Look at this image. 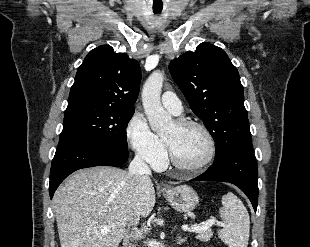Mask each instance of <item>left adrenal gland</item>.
I'll use <instances>...</instances> for the list:
<instances>
[{
  "mask_svg": "<svg viewBox=\"0 0 310 247\" xmlns=\"http://www.w3.org/2000/svg\"><path fill=\"white\" fill-rule=\"evenodd\" d=\"M186 241H187L186 237L182 238L181 236H178L177 244L181 245V244H184Z\"/></svg>",
  "mask_w": 310,
  "mask_h": 247,
  "instance_id": "obj_1",
  "label": "left adrenal gland"
}]
</instances>
